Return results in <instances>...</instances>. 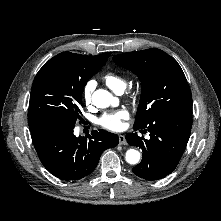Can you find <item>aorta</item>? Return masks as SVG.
Wrapping results in <instances>:
<instances>
[{
	"mask_svg": "<svg viewBox=\"0 0 221 221\" xmlns=\"http://www.w3.org/2000/svg\"><path fill=\"white\" fill-rule=\"evenodd\" d=\"M113 101V95L104 89H98L92 95V102L98 108L109 107ZM125 159L129 164H137L140 160V152L135 149H129L126 152Z\"/></svg>",
	"mask_w": 221,
	"mask_h": 221,
	"instance_id": "762f6f07",
	"label": "aorta"
}]
</instances>
